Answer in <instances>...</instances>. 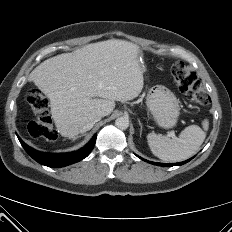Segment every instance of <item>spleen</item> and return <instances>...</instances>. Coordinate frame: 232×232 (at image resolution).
Listing matches in <instances>:
<instances>
[{"label":"spleen","instance_id":"obj_1","mask_svg":"<svg viewBox=\"0 0 232 232\" xmlns=\"http://www.w3.org/2000/svg\"><path fill=\"white\" fill-rule=\"evenodd\" d=\"M204 130L208 129L209 122L203 121ZM206 133L197 125L186 127L179 137L168 138L166 136L149 133L148 145L152 153L159 159L167 162H178L192 156L202 145Z\"/></svg>","mask_w":232,"mask_h":232}]
</instances>
